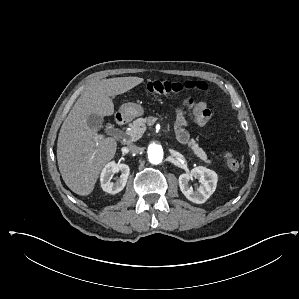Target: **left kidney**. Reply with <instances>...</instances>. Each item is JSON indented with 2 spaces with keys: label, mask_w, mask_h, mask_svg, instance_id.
Returning <instances> with one entry per match:
<instances>
[{
  "label": "left kidney",
  "mask_w": 299,
  "mask_h": 299,
  "mask_svg": "<svg viewBox=\"0 0 299 299\" xmlns=\"http://www.w3.org/2000/svg\"><path fill=\"white\" fill-rule=\"evenodd\" d=\"M198 179L200 182L199 188L193 190L189 186V180ZM179 187L184 196L196 204L204 203L215 191L217 186V174L210 169L199 166L179 176Z\"/></svg>",
  "instance_id": "obj_1"
}]
</instances>
